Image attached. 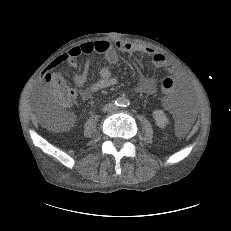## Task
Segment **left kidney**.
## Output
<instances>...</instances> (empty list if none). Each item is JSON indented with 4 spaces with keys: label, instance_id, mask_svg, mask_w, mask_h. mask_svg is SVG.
Here are the masks:
<instances>
[{
    "label": "left kidney",
    "instance_id": "left-kidney-1",
    "mask_svg": "<svg viewBox=\"0 0 231 231\" xmlns=\"http://www.w3.org/2000/svg\"><path fill=\"white\" fill-rule=\"evenodd\" d=\"M153 118L160 128H165V126L169 123V119L167 118L163 110H154Z\"/></svg>",
    "mask_w": 231,
    "mask_h": 231
}]
</instances>
